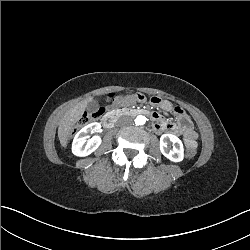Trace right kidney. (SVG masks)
Here are the masks:
<instances>
[{
  "label": "right kidney",
  "instance_id": "obj_1",
  "mask_svg": "<svg viewBox=\"0 0 250 250\" xmlns=\"http://www.w3.org/2000/svg\"><path fill=\"white\" fill-rule=\"evenodd\" d=\"M100 129L101 124L98 122L83 127L73 139L72 153L79 157H85L94 152L100 146L102 140L100 136H93L87 140L88 133L98 132Z\"/></svg>",
  "mask_w": 250,
  "mask_h": 250
}]
</instances>
